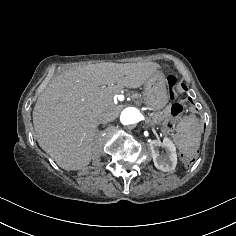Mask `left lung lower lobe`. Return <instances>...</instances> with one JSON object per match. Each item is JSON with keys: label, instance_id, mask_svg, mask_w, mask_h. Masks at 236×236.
Here are the masks:
<instances>
[{"label": "left lung lower lobe", "instance_id": "0a47b994", "mask_svg": "<svg viewBox=\"0 0 236 236\" xmlns=\"http://www.w3.org/2000/svg\"><path fill=\"white\" fill-rule=\"evenodd\" d=\"M182 86H183L184 89H187L186 86H185L184 84H182ZM190 101H191V99H190Z\"/></svg>", "mask_w": 236, "mask_h": 236}]
</instances>
